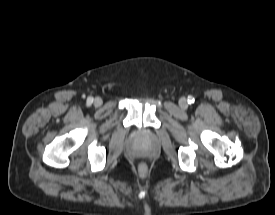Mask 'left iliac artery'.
Returning <instances> with one entry per match:
<instances>
[{
	"instance_id": "left-iliac-artery-1",
	"label": "left iliac artery",
	"mask_w": 275,
	"mask_h": 215,
	"mask_svg": "<svg viewBox=\"0 0 275 215\" xmlns=\"http://www.w3.org/2000/svg\"><path fill=\"white\" fill-rule=\"evenodd\" d=\"M188 103H194V98L192 96H188Z\"/></svg>"
}]
</instances>
